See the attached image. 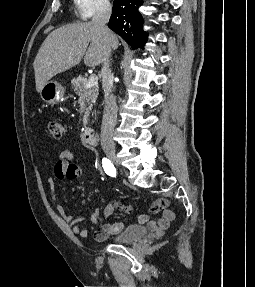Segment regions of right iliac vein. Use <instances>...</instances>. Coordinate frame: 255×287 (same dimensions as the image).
I'll use <instances>...</instances> for the list:
<instances>
[{"instance_id":"right-iliac-vein-1","label":"right iliac vein","mask_w":255,"mask_h":287,"mask_svg":"<svg viewBox=\"0 0 255 287\" xmlns=\"http://www.w3.org/2000/svg\"><path fill=\"white\" fill-rule=\"evenodd\" d=\"M105 151V154L107 155V157L112 161L114 162L115 164H117V156H116V151H115V148L113 147H106L104 149Z\"/></svg>"}]
</instances>
